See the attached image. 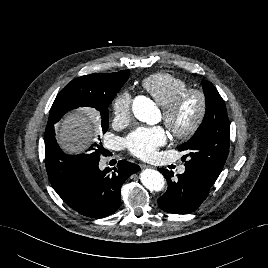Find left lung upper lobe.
<instances>
[{"mask_svg": "<svg viewBox=\"0 0 268 268\" xmlns=\"http://www.w3.org/2000/svg\"><path fill=\"white\" fill-rule=\"evenodd\" d=\"M203 90L206 98L203 122L192 138L181 144L178 150L187 153L182 157L186 167L203 170L217 179L229 151L230 123L224 101L214 85L205 81Z\"/></svg>", "mask_w": 268, "mask_h": 268, "instance_id": "obj_1", "label": "left lung upper lobe"}]
</instances>
